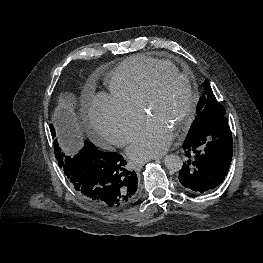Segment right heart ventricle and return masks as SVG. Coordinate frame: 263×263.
<instances>
[{
    "label": "right heart ventricle",
    "instance_id": "obj_1",
    "mask_svg": "<svg viewBox=\"0 0 263 263\" xmlns=\"http://www.w3.org/2000/svg\"><path fill=\"white\" fill-rule=\"evenodd\" d=\"M157 68L177 70L169 61L148 56L139 55L126 59L109 75L111 95L127 105L140 108L145 87Z\"/></svg>",
    "mask_w": 263,
    "mask_h": 263
}]
</instances>
